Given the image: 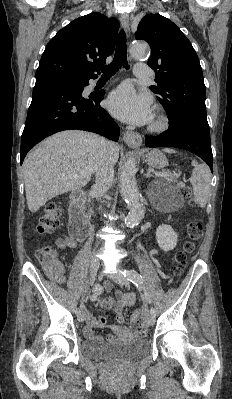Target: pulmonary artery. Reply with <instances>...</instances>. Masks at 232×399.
<instances>
[{
    "label": "pulmonary artery",
    "mask_w": 232,
    "mask_h": 399,
    "mask_svg": "<svg viewBox=\"0 0 232 399\" xmlns=\"http://www.w3.org/2000/svg\"><path fill=\"white\" fill-rule=\"evenodd\" d=\"M135 68V75L137 80H148L151 71L150 69H148L147 63H136Z\"/></svg>",
    "instance_id": "pulmonary-artery-1"
}]
</instances>
